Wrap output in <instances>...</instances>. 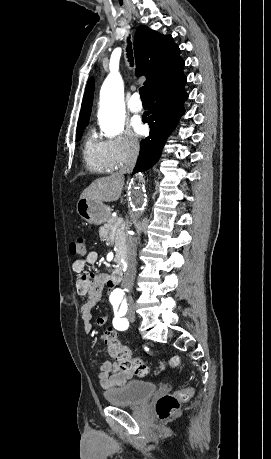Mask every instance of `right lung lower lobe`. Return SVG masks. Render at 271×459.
I'll list each match as a JSON object with an SVG mask.
<instances>
[{
	"label": "right lung lower lobe",
	"instance_id": "1",
	"mask_svg": "<svg viewBox=\"0 0 271 459\" xmlns=\"http://www.w3.org/2000/svg\"><path fill=\"white\" fill-rule=\"evenodd\" d=\"M186 76L183 72L170 76L148 92L150 108L143 121L150 126L149 137L140 144V153L134 173L152 167L160 157L163 145L180 116L183 103L188 98L184 90Z\"/></svg>",
	"mask_w": 271,
	"mask_h": 459
}]
</instances>
